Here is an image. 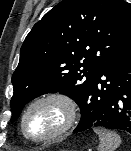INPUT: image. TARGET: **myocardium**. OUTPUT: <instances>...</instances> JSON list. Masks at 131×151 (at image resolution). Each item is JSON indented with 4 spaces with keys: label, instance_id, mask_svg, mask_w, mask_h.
<instances>
[{
    "label": "myocardium",
    "instance_id": "1",
    "mask_svg": "<svg viewBox=\"0 0 131 151\" xmlns=\"http://www.w3.org/2000/svg\"><path fill=\"white\" fill-rule=\"evenodd\" d=\"M44 103H55L59 105L64 111V121L61 124V126L51 134L44 137L35 138L30 136L26 131L25 127L26 119L28 114L31 112L33 108ZM76 119H77L76 102L66 93L60 91H50L36 97L27 105L21 117L20 127L23 136L27 140L34 143H46L53 141L67 133L75 124Z\"/></svg>",
    "mask_w": 131,
    "mask_h": 151
}]
</instances>
